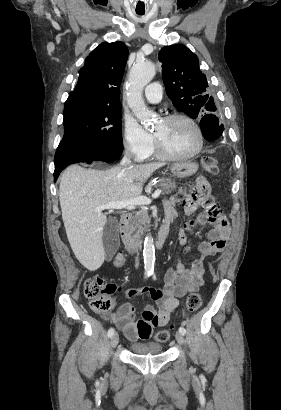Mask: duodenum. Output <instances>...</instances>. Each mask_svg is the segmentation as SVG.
I'll return each instance as SVG.
<instances>
[{
    "mask_svg": "<svg viewBox=\"0 0 281 410\" xmlns=\"http://www.w3.org/2000/svg\"><path fill=\"white\" fill-rule=\"evenodd\" d=\"M131 215L129 213H124L120 217V232L122 236V240L124 243V246L126 250L131 253V254H137L140 248L143 246V240L134 238L132 237L128 231H127V224L130 219ZM168 230L169 226L166 224H163L159 231H158V236L156 240L157 246H162L166 241L168 237Z\"/></svg>",
    "mask_w": 281,
    "mask_h": 410,
    "instance_id": "duodenum-1",
    "label": "duodenum"
}]
</instances>
